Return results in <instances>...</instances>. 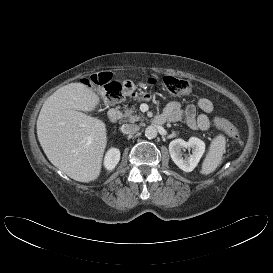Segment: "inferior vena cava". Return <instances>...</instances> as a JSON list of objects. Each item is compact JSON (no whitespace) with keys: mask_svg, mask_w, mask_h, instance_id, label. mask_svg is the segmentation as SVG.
Returning <instances> with one entry per match:
<instances>
[{"mask_svg":"<svg viewBox=\"0 0 273 273\" xmlns=\"http://www.w3.org/2000/svg\"><path fill=\"white\" fill-rule=\"evenodd\" d=\"M140 130V127L136 124H124L122 126V131L125 134H135Z\"/></svg>","mask_w":273,"mask_h":273,"instance_id":"1","label":"inferior vena cava"}]
</instances>
